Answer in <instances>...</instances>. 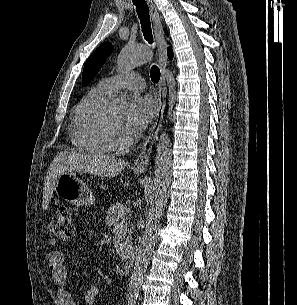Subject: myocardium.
<instances>
[{"label":"myocardium","instance_id":"myocardium-1","mask_svg":"<svg viewBox=\"0 0 297 305\" xmlns=\"http://www.w3.org/2000/svg\"><path fill=\"white\" fill-rule=\"evenodd\" d=\"M100 137L105 147L113 152H122L127 150L132 144V139L129 138L123 142L115 140L111 128V122L108 113H104L100 123Z\"/></svg>","mask_w":297,"mask_h":305}]
</instances>
